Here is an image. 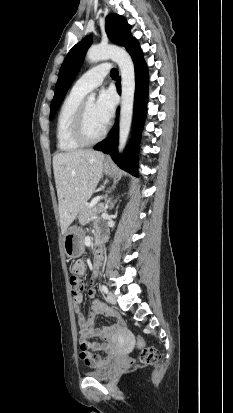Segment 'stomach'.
Returning <instances> with one entry per match:
<instances>
[{
    "mask_svg": "<svg viewBox=\"0 0 233 413\" xmlns=\"http://www.w3.org/2000/svg\"><path fill=\"white\" fill-rule=\"evenodd\" d=\"M103 170L106 174H110L112 171L111 165L105 163ZM82 239L83 230L80 227L72 226L67 229L63 237V246L68 257L74 258L76 255H82L84 251Z\"/></svg>",
    "mask_w": 233,
    "mask_h": 413,
    "instance_id": "0dacf381",
    "label": "stomach"
}]
</instances>
